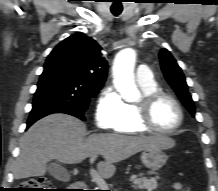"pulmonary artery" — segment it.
<instances>
[{
    "mask_svg": "<svg viewBox=\"0 0 218 191\" xmlns=\"http://www.w3.org/2000/svg\"><path fill=\"white\" fill-rule=\"evenodd\" d=\"M136 79L139 84H149L154 82L152 69L145 64L140 65L138 67Z\"/></svg>",
    "mask_w": 218,
    "mask_h": 191,
    "instance_id": "obj_1",
    "label": "pulmonary artery"
}]
</instances>
